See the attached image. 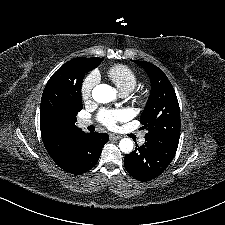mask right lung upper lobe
I'll use <instances>...</instances> for the list:
<instances>
[{"instance_id":"obj_1","label":"right lung upper lobe","mask_w":225,"mask_h":225,"mask_svg":"<svg viewBox=\"0 0 225 225\" xmlns=\"http://www.w3.org/2000/svg\"><path fill=\"white\" fill-rule=\"evenodd\" d=\"M91 58L78 57L66 62L59 68L49 79L45 86V91H48L56 82H63L69 76L78 70H88V62ZM41 136L45 148L53 161L58 164L66 157L70 143L82 130L74 125H69L60 128H52L47 126L40 118Z\"/></svg>"}]
</instances>
